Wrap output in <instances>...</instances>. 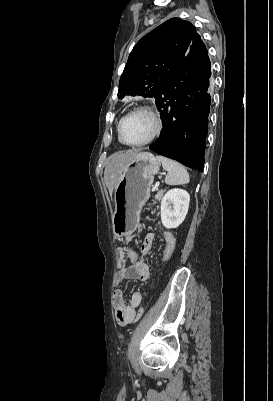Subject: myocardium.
<instances>
[{"label": "myocardium", "instance_id": "myocardium-1", "mask_svg": "<svg viewBox=\"0 0 273 401\" xmlns=\"http://www.w3.org/2000/svg\"><path fill=\"white\" fill-rule=\"evenodd\" d=\"M134 114L149 115L155 122V129H154L153 133L145 140L137 142V143H129L122 138V125L129 116L134 115ZM163 129H164L163 119L152 107L139 106V107L129 111L127 114H125L124 116L121 117V119L119 120V122L117 124L116 132H117V137H118L119 141L122 144H124L125 146L141 147V146L147 145V144L151 143L152 141L156 140L162 134Z\"/></svg>", "mask_w": 273, "mask_h": 401}]
</instances>
